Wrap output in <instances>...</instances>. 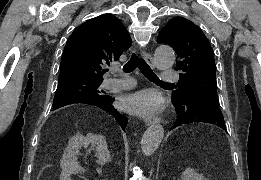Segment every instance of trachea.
Listing matches in <instances>:
<instances>
[{
  "instance_id": "trachea-1",
  "label": "trachea",
  "mask_w": 261,
  "mask_h": 180,
  "mask_svg": "<svg viewBox=\"0 0 261 180\" xmlns=\"http://www.w3.org/2000/svg\"><path fill=\"white\" fill-rule=\"evenodd\" d=\"M136 68H139L141 73H143V75L151 82L158 84H168V82H163L157 77V75L153 72L144 59L139 58L135 53H133L130 60L124 65L123 71L125 73H131Z\"/></svg>"
}]
</instances>
